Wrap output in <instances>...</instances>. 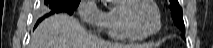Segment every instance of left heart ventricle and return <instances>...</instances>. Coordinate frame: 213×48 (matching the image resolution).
Listing matches in <instances>:
<instances>
[{"mask_svg":"<svg viewBox=\"0 0 213 48\" xmlns=\"http://www.w3.org/2000/svg\"><path fill=\"white\" fill-rule=\"evenodd\" d=\"M129 16L135 27L142 33L153 32L157 27L154 9L143 1L137 2L131 8Z\"/></svg>","mask_w":213,"mask_h":48,"instance_id":"obj_1","label":"left heart ventricle"}]
</instances>
